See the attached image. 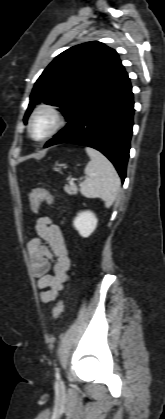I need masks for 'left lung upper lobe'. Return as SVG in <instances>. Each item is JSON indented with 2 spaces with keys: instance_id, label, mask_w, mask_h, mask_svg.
I'll return each instance as SVG.
<instances>
[{
  "instance_id": "left-lung-upper-lobe-1",
  "label": "left lung upper lobe",
  "mask_w": 165,
  "mask_h": 419,
  "mask_svg": "<svg viewBox=\"0 0 165 419\" xmlns=\"http://www.w3.org/2000/svg\"><path fill=\"white\" fill-rule=\"evenodd\" d=\"M123 71L117 52L103 43L88 42L67 49L36 81L24 121L39 102L61 107L68 120Z\"/></svg>"
}]
</instances>
